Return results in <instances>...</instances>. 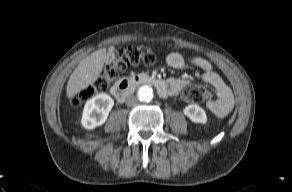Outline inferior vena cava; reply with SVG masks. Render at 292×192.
I'll return each mask as SVG.
<instances>
[{"label": "inferior vena cava", "instance_id": "inferior-vena-cava-1", "mask_svg": "<svg viewBox=\"0 0 292 192\" xmlns=\"http://www.w3.org/2000/svg\"><path fill=\"white\" fill-rule=\"evenodd\" d=\"M139 103V100L136 96L131 95L126 99V105L127 106H135Z\"/></svg>", "mask_w": 292, "mask_h": 192}]
</instances>
